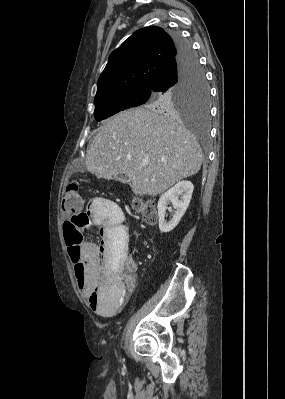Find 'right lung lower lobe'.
Instances as JSON below:
<instances>
[{
  "instance_id": "1",
  "label": "right lung lower lobe",
  "mask_w": 285,
  "mask_h": 399,
  "mask_svg": "<svg viewBox=\"0 0 285 399\" xmlns=\"http://www.w3.org/2000/svg\"><path fill=\"white\" fill-rule=\"evenodd\" d=\"M173 40L177 49V56L161 71L155 80L152 86L154 92H163L175 86L185 71L197 62L189 43L184 41L179 34H174Z\"/></svg>"
}]
</instances>
